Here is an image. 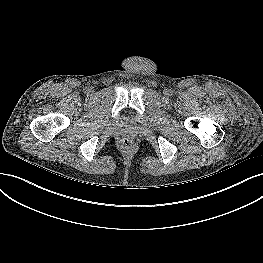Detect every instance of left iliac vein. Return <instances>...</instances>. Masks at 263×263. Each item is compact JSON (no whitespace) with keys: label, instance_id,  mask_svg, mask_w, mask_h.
<instances>
[{"label":"left iliac vein","instance_id":"1","mask_svg":"<svg viewBox=\"0 0 263 263\" xmlns=\"http://www.w3.org/2000/svg\"><path fill=\"white\" fill-rule=\"evenodd\" d=\"M169 92H170L169 90H165L166 95H169Z\"/></svg>","mask_w":263,"mask_h":263}]
</instances>
